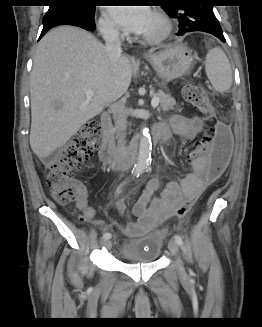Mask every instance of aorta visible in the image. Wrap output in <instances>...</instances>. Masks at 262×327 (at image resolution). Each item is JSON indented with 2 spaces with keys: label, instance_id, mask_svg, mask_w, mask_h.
I'll list each match as a JSON object with an SVG mask.
<instances>
[{
  "label": "aorta",
  "instance_id": "aorta-1",
  "mask_svg": "<svg viewBox=\"0 0 262 327\" xmlns=\"http://www.w3.org/2000/svg\"><path fill=\"white\" fill-rule=\"evenodd\" d=\"M152 143L148 133V129H143L142 136L139 143V153L137 162L133 168V174L139 175L143 173L149 166L151 158Z\"/></svg>",
  "mask_w": 262,
  "mask_h": 327
}]
</instances>
